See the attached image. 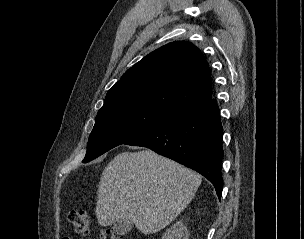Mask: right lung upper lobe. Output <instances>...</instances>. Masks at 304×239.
<instances>
[{
  "instance_id": "1",
  "label": "right lung upper lobe",
  "mask_w": 304,
  "mask_h": 239,
  "mask_svg": "<svg viewBox=\"0 0 304 239\" xmlns=\"http://www.w3.org/2000/svg\"><path fill=\"white\" fill-rule=\"evenodd\" d=\"M212 98L207 61L186 41H175L151 52L128 69L108 91L98 114L141 108L169 118Z\"/></svg>"
}]
</instances>
